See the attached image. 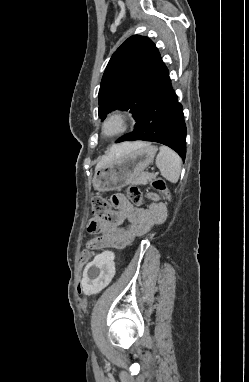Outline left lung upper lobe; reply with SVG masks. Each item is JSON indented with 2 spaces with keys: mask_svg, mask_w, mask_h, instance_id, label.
<instances>
[{
  "mask_svg": "<svg viewBox=\"0 0 249 382\" xmlns=\"http://www.w3.org/2000/svg\"><path fill=\"white\" fill-rule=\"evenodd\" d=\"M168 75L160 53L147 37L128 38L112 55L99 90V117L113 110H130L141 118Z\"/></svg>",
  "mask_w": 249,
  "mask_h": 382,
  "instance_id": "left-lung-upper-lobe-1",
  "label": "left lung upper lobe"
}]
</instances>
